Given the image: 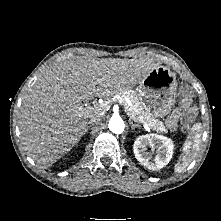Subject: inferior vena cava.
<instances>
[{
    "label": "inferior vena cava",
    "instance_id": "obj_1",
    "mask_svg": "<svg viewBox=\"0 0 221 221\" xmlns=\"http://www.w3.org/2000/svg\"><path fill=\"white\" fill-rule=\"evenodd\" d=\"M97 122H101V117H100L99 115L92 117V118L88 121V124H94V123H97Z\"/></svg>",
    "mask_w": 221,
    "mask_h": 221
}]
</instances>
